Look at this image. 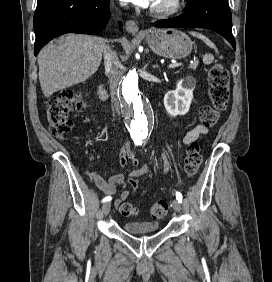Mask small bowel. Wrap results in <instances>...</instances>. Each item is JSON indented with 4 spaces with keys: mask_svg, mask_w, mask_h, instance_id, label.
<instances>
[{
    "mask_svg": "<svg viewBox=\"0 0 272 282\" xmlns=\"http://www.w3.org/2000/svg\"><path fill=\"white\" fill-rule=\"evenodd\" d=\"M207 126H195L190 128L183 138L184 144H190L195 140L199 139L203 134L207 133ZM162 158L165 159V154L162 155ZM129 163L134 166H138L140 164L139 159L136 157L135 153L132 151L129 144L124 146L119 155V164L121 167H126ZM169 171V164L167 162L163 165V173L166 174ZM150 172V168L147 163L142 164L140 167L131 171V178H137L144 174ZM94 184L106 195H112L116 192V188L123 184L124 177L122 174H116L108 179L102 178L98 174H94L92 176ZM131 188L136 190L139 188V183L136 181L135 183H129ZM130 192L128 190H124L120 197L115 200V206L119 207L121 203L125 202L129 197Z\"/></svg>",
    "mask_w": 272,
    "mask_h": 282,
    "instance_id": "obj_1",
    "label": "small bowel"
}]
</instances>
